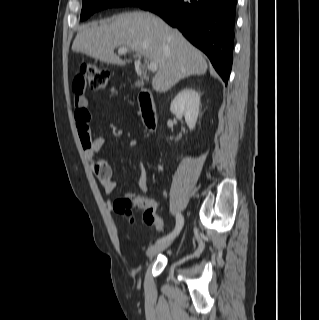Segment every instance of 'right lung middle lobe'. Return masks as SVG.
I'll list each match as a JSON object with an SVG mask.
<instances>
[{
    "label": "right lung middle lobe",
    "mask_w": 319,
    "mask_h": 320,
    "mask_svg": "<svg viewBox=\"0 0 319 320\" xmlns=\"http://www.w3.org/2000/svg\"><path fill=\"white\" fill-rule=\"evenodd\" d=\"M152 0H82L81 20H85L93 13L110 7L140 6Z\"/></svg>",
    "instance_id": "obj_1"
}]
</instances>
